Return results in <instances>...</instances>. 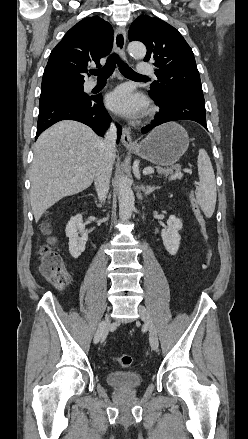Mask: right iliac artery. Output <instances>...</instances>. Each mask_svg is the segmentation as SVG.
<instances>
[{
	"label": "right iliac artery",
	"mask_w": 248,
	"mask_h": 439,
	"mask_svg": "<svg viewBox=\"0 0 248 439\" xmlns=\"http://www.w3.org/2000/svg\"><path fill=\"white\" fill-rule=\"evenodd\" d=\"M103 327H104V322H99V325H97V329H95L94 334L95 336L93 337V344L95 345L99 340L100 337L103 334Z\"/></svg>",
	"instance_id": "obj_1"
}]
</instances>
